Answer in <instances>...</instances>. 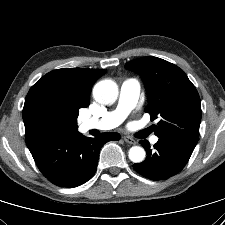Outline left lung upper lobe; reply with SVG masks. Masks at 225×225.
<instances>
[{
    "label": "left lung upper lobe",
    "mask_w": 225,
    "mask_h": 225,
    "mask_svg": "<svg viewBox=\"0 0 225 225\" xmlns=\"http://www.w3.org/2000/svg\"><path fill=\"white\" fill-rule=\"evenodd\" d=\"M125 68L139 74L145 84L151 120L160 117L155 135L195 147L201 122L199 94L178 66L157 57L133 60Z\"/></svg>",
    "instance_id": "left-lung-upper-lobe-1"
}]
</instances>
